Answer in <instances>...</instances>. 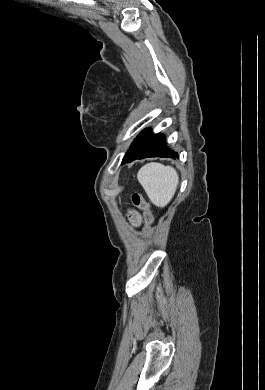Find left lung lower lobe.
<instances>
[{"label":"left lung lower lobe","instance_id":"0a47b994","mask_svg":"<svg viewBox=\"0 0 265 390\" xmlns=\"http://www.w3.org/2000/svg\"><path fill=\"white\" fill-rule=\"evenodd\" d=\"M151 157L178 158L177 152L171 150L165 141V136L153 134L150 129L143 130L133 141L130 149L126 152L122 164L136 159Z\"/></svg>","mask_w":265,"mask_h":390}]
</instances>
